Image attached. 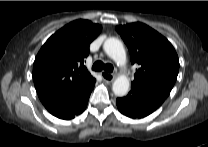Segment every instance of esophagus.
Instances as JSON below:
<instances>
[{"mask_svg":"<svg viewBox=\"0 0 208 147\" xmlns=\"http://www.w3.org/2000/svg\"><path fill=\"white\" fill-rule=\"evenodd\" d=\"M101 76L104 79V81H106V82H113L114 79H115L114 74H111V73H108V72H105V71L101 72Z\"/></svg>","mask_w":208,"mask_h":147,"instance_id":"34e87169","label":"esophagus"}]
</instances>
